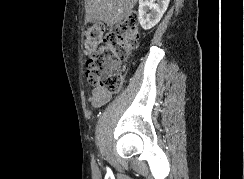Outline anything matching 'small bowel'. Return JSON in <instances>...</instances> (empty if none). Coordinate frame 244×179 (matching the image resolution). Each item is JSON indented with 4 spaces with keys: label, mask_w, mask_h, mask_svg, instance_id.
<instances>
[{
    "label": "small bowel",
    "mask_w": 244,
    "mask_h": 179,
    "mask_svg": "<svg viewBox=\"0 0 244 179\" xmlns=\"http://www.w3.org/2000/svg\"><path fill=\"white\" fill-rule=\"evenodd\" d=\"M111 97V93H108L101 88L91 89L89 102L94 108H101L110 101Z\"/></svg>",
    "instance_id": "1"
}]
</instances>
